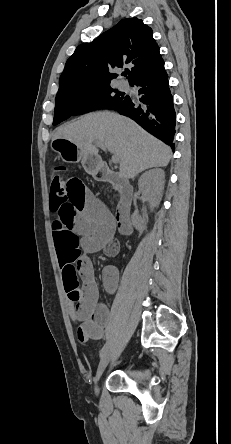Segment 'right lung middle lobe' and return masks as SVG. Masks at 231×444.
I'll use <instances>...</instances> for the list:
<instances>
[{"label": "right lung middle lobe", "mask_w": 231, "mask_h": 444, "mask_svg": "<svg viewBox=\"0 0 231 444\" xmlns=\"http://www.w3.org/2000/svg\"><path fill=\"white\" fill-rule=\"evenodd\" d=\"M124 97L123 93L111 88L109 84L58 94L55 98L53 125H57L71 115L83 114L94 109H110ZM89 102L94 103L87 106Z\"/></svg>", "instance_id": "obj_1"}]
</instances>
